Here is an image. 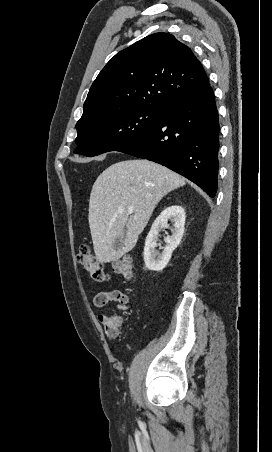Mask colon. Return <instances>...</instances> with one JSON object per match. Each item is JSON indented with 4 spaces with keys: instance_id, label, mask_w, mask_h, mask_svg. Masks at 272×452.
<instances>
[{
    "instance_id": "1",
    "label": "colon",
    "mask_w": 272,
    "mask_h": 452,
    "mask_svg": "<svg viewBox=\"0 0 272 452\" xmlns=\"http://www.w3.org/2000/svg\"><path fill=\"white\" fill-rule=\"evenodd\" d=\"M78 263L86 270L92 281L97 283H104L109 280V275L100 263L92 254L88 245H81L77 256ZM113 270L118 275L125 279H130L133 276V262L128 256L115 261L112 265Z\"/></svg>"
}]
</instances>
